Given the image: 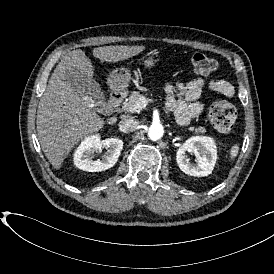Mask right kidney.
I'll return each mask as SVG.
<instances>
[{
  "label": "right kidney",
  "instance_id": "right-kidney-1",
  "mask_svg": "<svg viewBox=\"0 0 274 274\" xmlns=\"http://www.w3.org/2000/svg\"><path fill=\"white\" fill-rule=\"evenodd\" d=\"M103 148H106V153L101 159L94 160V155L99 154ZM122 150L123 141L121 139L113 137L100 140V137L96 135L87 138L76 149L74 162L83 171L101 172L115 165Z\"/></svg>",
  "mask_w": 274,
  "mask_h": 274
}]
</instances>
